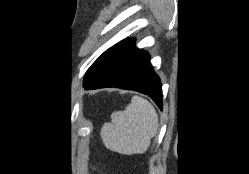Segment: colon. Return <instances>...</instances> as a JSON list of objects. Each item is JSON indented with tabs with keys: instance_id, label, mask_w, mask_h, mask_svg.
I'll return each instance as SVG.
<instances>
[{
	"instance_id": "obj_1",
	"label": "colon",
	"mask_w": 249,
	"mask_h": 174,
	"mask_svg": "<svg viewBox=\"0 0 249 174\" xmlns=\"http://www.w3.org/2000/svg\"><path fill=\"white\" fill-rule=\"evenodd\" d=\"M93 169L97 170V166L95 164H93Z\"/></svg>"
}]
</instances>
